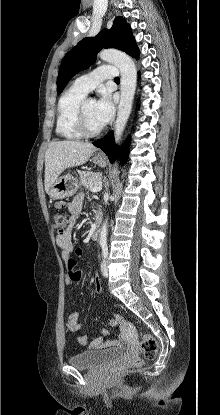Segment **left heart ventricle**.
<instances>
[{"instance_id":"left-heart-ventricle-1","label":"left heart ventricle","mask_w":220,"mask_h":415,"mask_svg":"<svg viewBox=\"0 0 220 415\" xmlns=\"http://www.w3.org/2000/svg\"><path fill=\"white\" fill-rule=\"evenodd\" d=\"M86 123L90 130H97L102 127L95 115V102L88 101L85 107Z\"/></svg>"}]
</instances>
